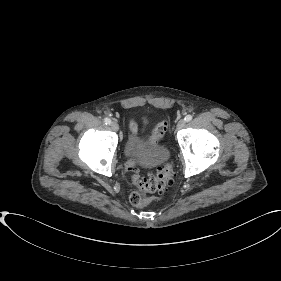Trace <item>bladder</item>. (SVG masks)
I'll return each instance as SVG.
<instances>
[{"mask_svg":"<svg viewBox=\"0 0 281 281\" xmlns=\"http://www.w3.org/2000/svg\"><path fill=\"white\" fill-rule=\"evenodd\" d=\"M124 153L128 160L154 166L163 163L169 156V150L152 143L145 136L139 134H130L124 146Z\"/></svg>","mask_w":281,"mask_h":281,"instance_id":"31cf9c89","label":"bladder"}]
</instances>
